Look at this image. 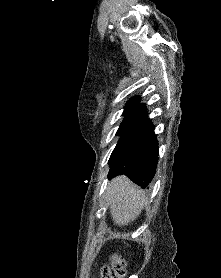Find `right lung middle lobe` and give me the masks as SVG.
Instances as JSON below:
<instances>
[{
	"label": "right lung middle lobe",
	"mask_w": 221,
	"mask_h": 278,
	"mask_svg": "<svg viewBox=\"0 0 221 278\" xmlns=\"http://www.w3.org/2000/svg\"><path fill=\"white\" fill-rule=\"evenodd\" d=\"M124 114L126 116L116 133V135H120V139L114 151L131 139L149 120L143 105L128 106L125 108Z\"/></svg>",
	"instance_id": "right-lung-middle-lobe-1"
}]
</instances>
